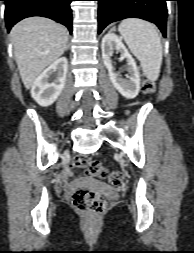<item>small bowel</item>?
Returning <instances> with one entry per match:
<instances>
[{"label": "small bowel", "instance_id": "obj_1", "mask_svg": "<svg viewBox=\"0 0 194 253\" xmlns=\"http://www.w3.org/2000/svg\"><path fill=\"white\" fill-rule=\"evenodd\" d=\"M71 176V170L69 168H66L59 178V183L61 186H63L65 189H71L72 185L68 182V178Z\"/></svg>", "mask_w": 194, "mask_h": 253}]
</instances>
